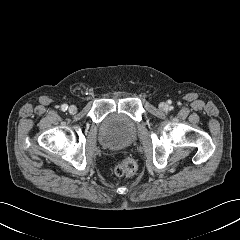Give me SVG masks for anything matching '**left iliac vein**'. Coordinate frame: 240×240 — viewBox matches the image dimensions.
Instances as JSON below:
<instances>
[{
  "label": "left iliac vein",
  "mask_w": 240,
  "mask_h": 240,
  "mask_svg": "<svg viewBox=\"0 0 240 240\" xmlns=\"http://www.w3.org/2000/svg\"><path fill=\"white\" fill-rule=\"evenodd\" d=\"M159 108L161 110H166L167 109V104L162 102V103H160Z\"/></svg>",
  "instance_id": "obj_1"
}]
</instances>
